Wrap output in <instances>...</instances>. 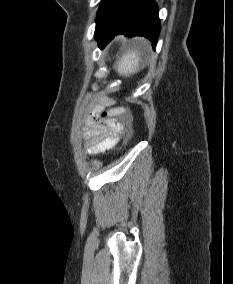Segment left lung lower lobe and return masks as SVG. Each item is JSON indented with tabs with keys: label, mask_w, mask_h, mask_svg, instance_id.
Returning <instances> with one entry per match:
<instances>
[{
	"label": "left lung lower lobe",
	"mask_w": 233,
	"mask_h": 284,
	"mask_svg": "<svg viewBox=\"0 0 233 284\" xmlns=\"http://www.w3.org/2000/svg\"><path fill=\"white\" fill-rule=\"evenodd\" d=\"M160 31L158 7L154 0H102L95 39L103 49L116 35L143 36L155 49Z\"/></svg>",
	"instance_id": "obj_1"
}]
</instances>
